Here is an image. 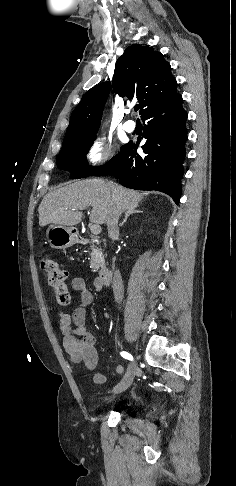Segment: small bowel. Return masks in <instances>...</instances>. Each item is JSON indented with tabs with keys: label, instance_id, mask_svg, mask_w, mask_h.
<instances>
[{
	"label": "small bowel",
	"instance_id": "obj_1",
	"mask_svg": "<svg viewBox=\"0 0 236 486\" xmlns=\"http://www.w3.org/2000/svg\"><path fill=\"white\" fill-rule=\"evenodd\" d=\"M71 288L81 293L80 305L70 315L61 310H57L58 327L62 335L63 346L72 361L83 363L88 370H95L98 366V353L96 350L97 337L85 326L87 308L93 301V292L87 287L81 277H75L71 280ZM96 290L101 286L95 281ZM124 368L121 364L113 367L112 374L118 375L123 373ZM108 379V375L97 372L94 375L95 383H103Z\"/></svg>",
	"mask_w": 236,
	"mask_h": 486
}]
</instances>
